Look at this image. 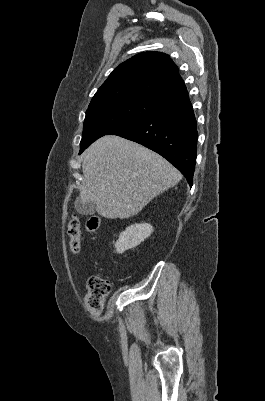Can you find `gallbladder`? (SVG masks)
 I'll return each mask as SVG.
<instances>
[{
    "mask_svg": "<svg viewBox=\"0 0 265 401\" xmlns=\"http://www.w3.org/2000/svg\"><path fill=\"white\" fill-rule=\"evenodd\" d=\"M74 207L80 215H94L96 211V203H82L80 196H77Z\"/></svg>",
    "mask_w": 265,
    "mask_h": 401,
    "instance_id": "1",
    "label": "gallbladder"
}]
</instances>
